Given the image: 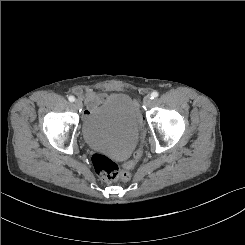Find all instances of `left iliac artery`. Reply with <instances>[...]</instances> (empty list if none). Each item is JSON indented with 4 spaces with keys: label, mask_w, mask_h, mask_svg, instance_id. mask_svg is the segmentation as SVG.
Wrapping results in <instances>:
<instances>
[{
    "label": "left iliac artery",
    "mask_w": 245,
    "mask_h": 245,
    "mask_svg": "<svg viewBox=\"0 0 245 245\" xmlns=\"http://www.w3.org/2000/svg\"><path fill=\"white\" fill-rule=\"evenodd\" d=\"M158 95H159V93L157 91H154L151 93L150 97H151V99H154V98L158 97Z\"/></svg>",
    "instance_id": "obj_1"
}]
</instances>
